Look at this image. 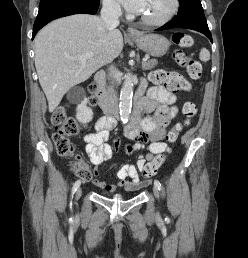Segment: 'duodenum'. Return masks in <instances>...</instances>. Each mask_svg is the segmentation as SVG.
<instances>
[{
  "label": "duodenum",
  "mask_w": 248,
  "mask_h": 258,
  "mask_svg": "<svg viewBox=\"0 0 248 258\" xmlns=\"http://www.w3.org/2000/svg\"><path fill=\"white\" fill-rule=\"evenodd\" d=\"M94 84L96 86L95 96L98 101L99 107L102 111L111 119H117L119 117V106L117 101H115L105 90V73L103 71H98L94 77ZM143 91V86H140L136 94V103L134 111L136 112L139 106V96Z\"/></svg>",
  "instance_id": "obj_1"
}]
</instances>
